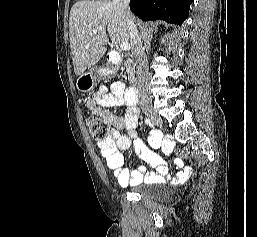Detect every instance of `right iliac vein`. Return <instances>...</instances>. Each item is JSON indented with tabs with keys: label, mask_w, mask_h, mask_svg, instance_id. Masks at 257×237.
<instances>
[{
	"label": "right iliac vein",
	"mask_w": 257,
	"mask_h": 237,
	"mask_svg": "<svg viewBox=\"0 0 257 237\" xmlns=\"http://www.w3.org/2000/svg\"><path fill=\"white\" fill-rule=\"evenodd\" d=\"M144 112L154 125L161 126V118L152 107H145Z\"/></svg>",
	"instance_id": "1"
}]
</instances>
